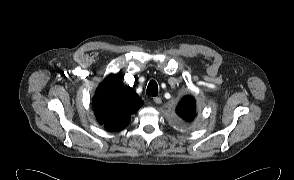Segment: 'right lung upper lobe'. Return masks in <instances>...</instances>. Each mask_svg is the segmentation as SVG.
Masks as SVG:
<instances>
[{"mask_svg": "<svg viewBox=\"0 0 294 180\" xmlns=\"http://www.w3.org/2000/svg\"><path fill=\"white\" fill-rule=\"evenodd\" d=\"M142 104L136 92L113 74L101 83L93 98L96 119L109 131L124 129Z\"/></svg>", "mask_w": 294, "mask_h": 180, "instance_id": "obj_1", "label": "right lung upper lobe"}]
</instances>
